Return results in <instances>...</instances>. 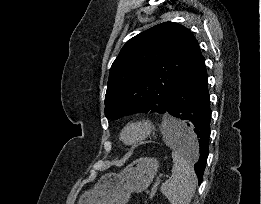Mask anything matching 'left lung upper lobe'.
<instances>
[{
    "instance_id": "left-lung-upper-lobe-1",
    "label": "left lung upper lobe",
    "mask_w": 261,
    "mask_h": 204,
    "mask_svg": "<svg viewBox=\"0 0 261 204\" xmlns=\"http://www.w3.org/2000/svg\"><path fill=\"white\" fill-rule=\"evenodd\" d=\"M197 45L191 31L174 22L131 38L110 70L106 117L116 120L138 112L165 113Z\"/></svg>"
}]
</instances>
